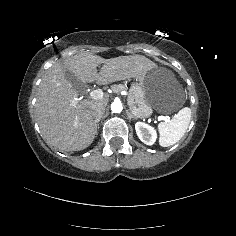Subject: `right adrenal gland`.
I'll return each instance as SVG.
<instances>
[{
  "mask_svg": "<svg viewBox=\"0 0 236 236\" xmlns=\"http://www.w3.org/2000/svg\"><path fill=\"white\" fill-rule=\"evenodd\" d=\"M102 117H99L98 118V121H94L95 122V127H96V131L99 130V128H97V125L99 124V121L101 120Z\"/></svg>",
  "mask_w": 236,
  "mask_h": 236,
  "instance_id": "2a0ac1e0",
  "label": "right adrenal gland"
}]
</instances>
